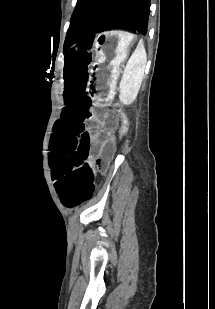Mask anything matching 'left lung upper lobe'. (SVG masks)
<instances>
[{"label":"left lung upper lobe","mask_w":215,"mask_h":309,"mask_svg":"<svg viewBox=\"0 0 215 309\" xmlns=\"http://www.w3.org/2000/svg\"><path fill=\"white\" fill-rule=\"evenodd\" d=\"M149 13L150 0H78L64 46L111 29L146 34Z\"/></svg>","instance_id":"obj_1"}]
</instances>
